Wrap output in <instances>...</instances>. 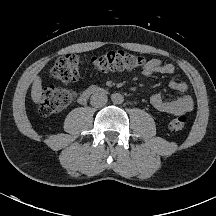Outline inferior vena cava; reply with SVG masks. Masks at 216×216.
Listing matches in <instances>:
<instances>
[{"mask_svg": "<svg viewBox=\"0 0 216 216\" xmlns=\"http://www.w3.org/2000/svg\"><path fill=\"white\" fill-rule=\"evenodd\" d=\"M108 98L103 93H95L91 96L90 103L96 108L103 107L107 104Z\"/></svg>", "mask_w": 216, "mask_h": 216, "instance_id": "obj_1", "label": "inferior vena cava"}]
</instances>
